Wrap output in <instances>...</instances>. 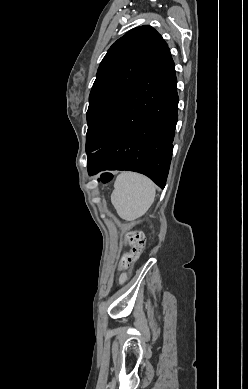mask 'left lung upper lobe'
<instances>
[{
  "mask_svg": "<svg viewBox=\"0 0 248 389\" xmlns=\"http://www.w3.org/2000/svg\"><path fill=\"white\" fill-rule=\"evenodd\" d=\"M168 49L167 43L151 26L131 29L118 39L103 58L89 96L86 134L87 158L107 144L98 133V119Z\"/></svg>",
  "mask_w": 248,
  "mask_h": 389,
  "instance_id": "1",
  "label": "left lung upper lobe"
}]
</instances>
